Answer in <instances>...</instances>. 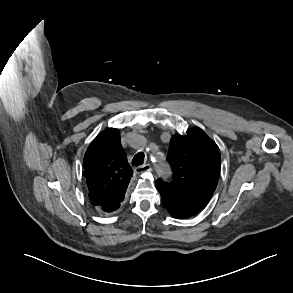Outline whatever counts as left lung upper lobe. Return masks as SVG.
I'll return each instance as SVG.
<instances>
[{
  "label": "left lung upper lobe",
  "mask_w": 293,
  "mask_h": 293,
  "mask_svg": "<svg viewBox=\"0 0 293 293\" xmlns=\"http://www.w3.org/2000/svg\"><path fill=\"white\" fill-rule=\"evenodd\" d=\"M167 160L174 175L169 183L157 181L161 197L197 214L207 205L218 183V146L204 131L192 128L184 136L172 137Z\"/></svg>",
  "instance_id": "left-lung-upper-lobe-1"
}]
</instances>
